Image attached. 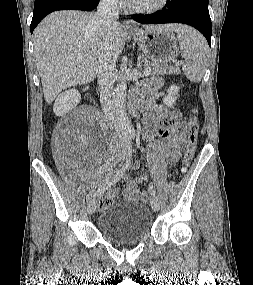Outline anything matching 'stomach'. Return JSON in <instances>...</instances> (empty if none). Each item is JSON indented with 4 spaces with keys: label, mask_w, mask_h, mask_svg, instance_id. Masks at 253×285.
I'll return each instance as SVG.
<instances>
[{
    "label": "stomach",
    "mask_w": 253,
    "mask_h": 285,
    "mask_svg": "<svg viewBox=\"0 0 253 285\" xmlns=\"http://www.w3.org/2000/svg\"><path fill=\"white\" fill-rule=\"evenodd\" d=\"M130 35L152 62L167 64L179 55L177 39L170 30L165 28L140 29Z\"/></svg>",
    "instance_id": "0dacf381"
}]
</instances>
